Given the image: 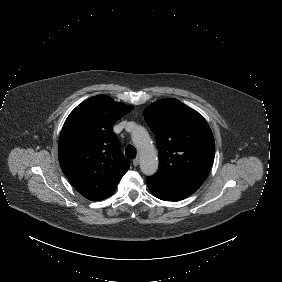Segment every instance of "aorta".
<instances>
[{
	"label": "aorta",
	"mask_w": 282,
	"mask_h": 282,
	"mask_svg": "<svg viewBox=\"0 0 282 282\" xmlns=\"http://www.w3.org/2000/svg\"><path fill=\"white\" fill-rule=\"evenodd\" d=\"M132 122L129 123V125ZM131 139L137 150L140 152V170L147 176L154 175L158 170L157 150L152 144L147 130L138 125H134L131 130Z\"/></svg>",
	"instance_id": "762f6f07"
}]
</instances>
